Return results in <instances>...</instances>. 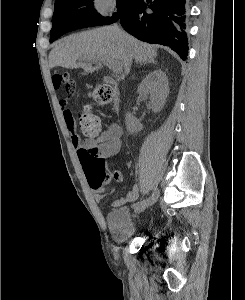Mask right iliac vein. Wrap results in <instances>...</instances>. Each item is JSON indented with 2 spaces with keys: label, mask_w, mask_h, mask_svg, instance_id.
Wrapping results in <instances>:
<instances>
[{
  "label": "right iliac vein",
  "mask_w": 245,
  "mask_h": 300,
  "mask_svg": "<svg viewBox=\"0 0 245 300\" xmlns=\"http://www.w3.org/2000/svg\"><path fill=\"white\" fill-rule=\"evenodd\" d=\"M159 192L155 189L152 193V195L145 199L142 200V205L138 206L137 204L134 206V211L136 214H140L143 212L148 206L154 204L156 200L158 199Z\"/></svg>",
  "instance_id": "obj_1"
}]
</instances>
